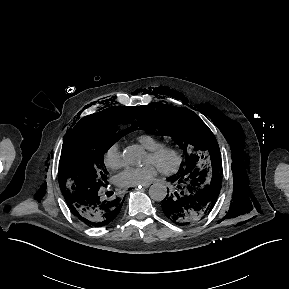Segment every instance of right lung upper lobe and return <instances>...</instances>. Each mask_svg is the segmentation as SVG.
Masks as SVG:
<instances>
[{
  "instance_id": "right-lung-upper-lobe-1",
  "label": "right lung upper lobe",
  "mask_w": 289,
  "mask_h": 289,
  "mask_svg": "<svg viewBox=\"0 0 289 289\" xmlns=\"http://www.w3.org/2000/svg\"><path fill=\"white\" fill-rule=\"evenodd\" d=\"M136 107H110L103 111L88 115L82 118L73 128L78 129L84 126H101L107 124L128 125L130 128L137 129L135 124Z\"/></svg>"
}]
</instances>
